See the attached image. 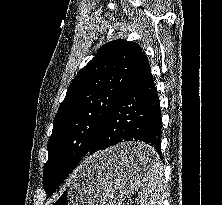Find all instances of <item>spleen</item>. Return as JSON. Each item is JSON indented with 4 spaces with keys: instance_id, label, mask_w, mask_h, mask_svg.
<instances>
[{
    "instance_id": "spleen-1",
    "label": "spleen",
    "mask_w": 222,
    "mask_h": 205,
    "mask_svg": "<svg viewBox=\"0 0 222 205\" xmlns=\"http://www.w3.org/2000/svg\"><path fill=\"white\" fill-rule=\"evenodd\" d=\"M164 198L163 167L156 158H153L140 190V205H163Z\"/></svg>"
}]
</instances>
